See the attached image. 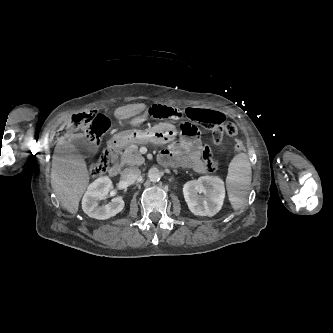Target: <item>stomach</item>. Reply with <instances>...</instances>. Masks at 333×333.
<instances>
[{"label": "stomach", "mask_w": 333, "mask_h": 333, "mask_svg": "<svg viewBox=\"0 0 333 333\" xmlns=\"http://www.w3.org/2000/svg\"><path fill=\"white\" fill-rule=\"evenodd\" d=\"M176 127L170 123H159L145 130H124L112 136L110 143L118 148L131 144H167L175 140Z\"/></svg>", "instance_id": "obj_1"}]
</instances>
